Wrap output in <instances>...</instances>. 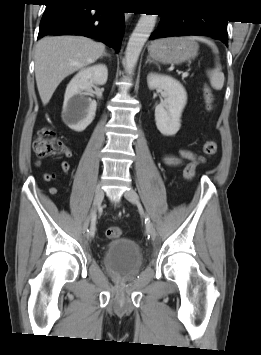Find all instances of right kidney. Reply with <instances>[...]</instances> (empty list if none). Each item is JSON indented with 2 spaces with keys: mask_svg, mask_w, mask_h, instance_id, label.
Returning a JSON list of instances; mask_svg holds the SVG:
<instances>
[{
  "mask_svg": "<svg viewBox=\"0 0 261 355\" xmlns=\"http://www.w3.org/2000/svg\"><path fill=\"white\" fill-rule=\"evenodd\" d=\"M107 78V67L98 64L82 69L70 81L66 88L62 111V119L70 129L82 132L91 124L97 103L85 96L95 84L104 85Z\"/></svg>",
  "mask_w": 261,
  "mask_h": 355,
  "instance_id": "right-kidney-1",
  "label": "right kidney"
}]
</instances>
